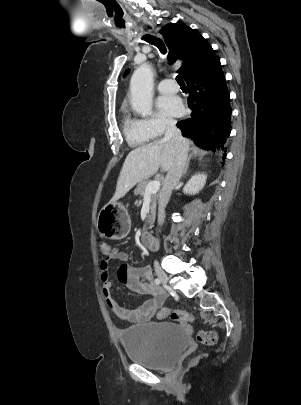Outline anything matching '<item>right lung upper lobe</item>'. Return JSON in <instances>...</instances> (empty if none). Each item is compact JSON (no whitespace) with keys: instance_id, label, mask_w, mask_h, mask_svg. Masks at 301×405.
Wrapping results in <instances>:
<instances>
[{"instance_id":"1","label":"right lung upper lobe","mask_w":301,"mask_h":405,"mask_svg":"<svg viewBox=\"0 0 301 405\" xmlns=\"http://www.w3.org/2000/svg\"><path fill=\"white\" fill-rule=\"evenodd\" d=\"M160 33L164 36L169 49V61L171 63L176 60L183 61V65L178 71L184 79L208 67L218 59L206 40L184 24L169 23L160 30Z\"/></svg>"}]
</instances>
